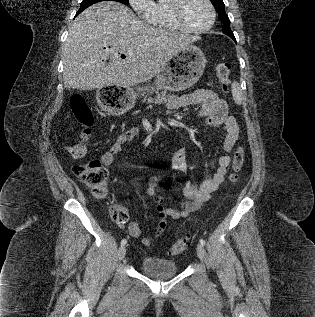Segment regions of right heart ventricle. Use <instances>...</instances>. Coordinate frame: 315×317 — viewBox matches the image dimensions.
<instances>
[{"label": "right heart ventricle", "mask_w": 315, "mask_h": 317, "mask_svg": "<svg viewBox=\"0 0 315 317\" xmlns=\"http://www.w3.org/2000/svg\"><path fill=\"white\" fill-rule=\"evenodd\" d=\"M168 3H157L148 19L149 23L159 29H179L171 20L168 12Z\"/></svg>", "instance_id": "right-heart-ventricle-1"}]
</instances>
